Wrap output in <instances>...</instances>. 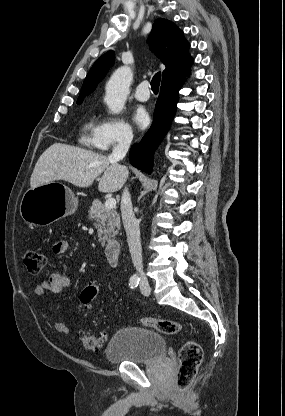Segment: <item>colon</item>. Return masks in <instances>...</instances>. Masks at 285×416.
<instances>
[{"mask_svg": "<svg viewBox=\"0 0 285 416\" xmlns=\"http://www.w3.org/2000/svg\"><path fill=\"white\" fill-rule=\"evenodd\" d=\"M24 264L31 275H39L45 265V257L42 253L29 250L23 256ZM99 293L96 284L87 285L80 293L79 301L82 307L88 308ZM142 326L151 327L166 335H175L181 331V324L173 320L142 318L139 320ZM78 343L88 351L97 352L101 349L105 336L95 334L88 329L78 332ZM203 360L202 347L194 340H187L180 349L179 368L175 377V390L183 395L191 385L198 367Z\"/></svg>", "mask_w": 285, "mask_h": 416, "instance_id": "1", "label": "colon"}]
</instances>
